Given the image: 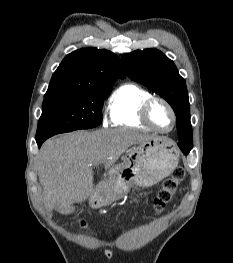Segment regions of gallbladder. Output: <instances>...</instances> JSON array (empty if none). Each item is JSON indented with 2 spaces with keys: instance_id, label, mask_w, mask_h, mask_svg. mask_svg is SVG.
<instances>
[{
  "instance_id": "1",
  "label": "gallbladder",
  "mask_w": 233,
  "mask_h": 263,
  "mask_svg": "<svg viewBox=\"0 0 233 263\" xmlns=\"http://www.w3.org/2000/svg\"><path fill=\"white\" fill-rule=\"evenodd\" d=\"M58 211L63 215H69L75 211V207L74 206H64V207H61Z\"/></svg>"
}]
</instances>
